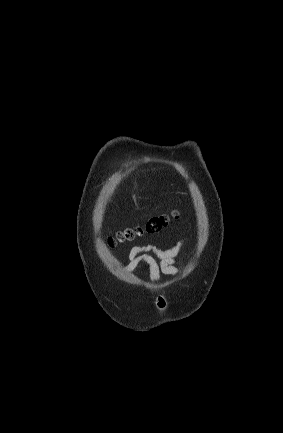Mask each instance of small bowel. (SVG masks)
Segmentation results:
<instances>
[{
    "instance_id": "obj_1",
    "label": "small bowel",
    "mask_w": 283,
    "mask_h": 433,
    "mask_svg": "<svg viewBox=\"0 0 283 433\" xmlns=\"http://www.w3.org/2000/svg\"><path fill=\"white\" fill-rule=\"evenodd\" d=\"M184 244L185 239L182 238L169 249H161L155 245L134 246L128 252L126 269L133 272L139 264H146L151 283H155L160 274L175 277L183 267L182 263L179 262V256Z\"/></svg>"
}]
</instances>
